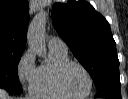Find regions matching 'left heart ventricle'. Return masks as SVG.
Returning a JSON list of instances; mask_svg holds the SVG:
<instances>
[{
	"label": "left heart ventricle",
	"mask_w": 128,
	"mask_h": 99,
	"mask_svg": "<svg viewBox=\"0 0 128 99\" xmlns=\"http://www.w3.org/2000/svg\"><path fill=\"white\" fill-rule=\"evenodd\" d=\"M63 83L67 91L74 95H82L88 89V79L83 70L76 66H69L63 76Z\"/></svg>",
	"instance_id": "b2bd125f"
}]
</instances>
